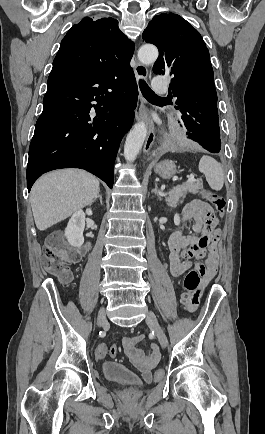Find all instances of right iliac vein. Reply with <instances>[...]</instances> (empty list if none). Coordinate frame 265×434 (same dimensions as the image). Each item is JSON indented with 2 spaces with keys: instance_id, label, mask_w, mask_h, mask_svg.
<instances>
[{
  "instance_id": "right-iliac-vein-1",
  "label": "right iliac vein",
  "mask_w": 265,
  "mask_h": 434,
  "mask_svg": "<svg viewBox=\"0 0 265 434\" xmlns=\"http://www.w3.org/2000/svg\"><path fill=\"white\" fill-rule=\"evenodd\" d=\"M98 324L101 325H105L107 324V319L105 317V310L104 308H100L99 310V314H98Z\"/></svg>"
}]
</instances>
